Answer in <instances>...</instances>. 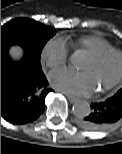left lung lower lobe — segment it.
<instances>
[{"instance_id":"0a47b994","label":"left lung lower lobe","mask_w":122,"mask_h":154,"mask_svg":"<svg viewBox=\"0 0 122 154\" xmlns=\"http://www.w3.org/2000/svg\"><path fill=\"white\" fill-rule=\"evenodd\" d=\"M122 118V97L112 96L103 102L93 103L90 113L78 124L89 131H103Z\"/></svg>"}]
</instances>
